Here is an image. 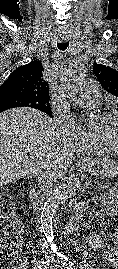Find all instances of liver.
<instances>
[{"label":"liver","mask_w":118,"mask_h":269,"mask_svg":"<svg viewBox=\"0 0 118 269\" xmlns=\"http://www.w3.org/2000/svg\"><path fill=\"white\" fill-rule=\"evenodd\" d=\"M56 130L55 122L36 109L13 108L0 114V187L37 175L43 164L52 165L56 175L73 164V156L56 145Z\"/></svg>","instance_id":"1"}]
</instances>
